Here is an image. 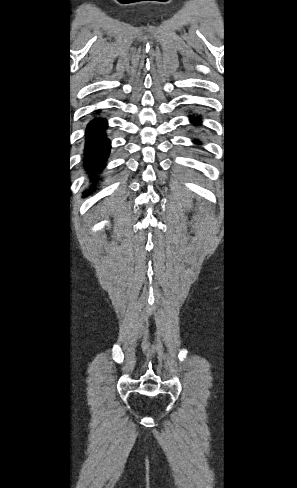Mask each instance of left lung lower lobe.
<instances>
[{
  "instance_id": "left-lung-lower-lobe-1",
  "label": "left lung lower lobe",
  "mask_w": 297,
  "mask_h": 488,
  "mask_svg": "<svg viewBox=\"0 0 297 488\" xmlns=\"http://www.w3.org/2000/svg\"><path fill=\"white\" fill-rule=\"evenodd\" d=\"M190 120L191 122H193L195 125H198L201 123V120H200V117H197L196 119L194 118V116H190Z\"/></svg>"
}]
</instances>
